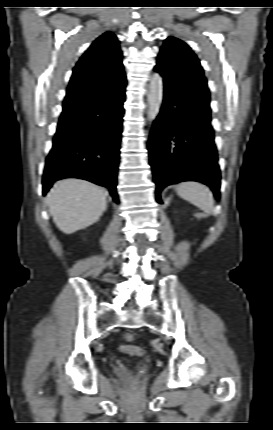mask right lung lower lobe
I'll return each instance as SVG.
<instances>
[{"mask_svg": "<svg viewBox=\"0 0 273 430\" xmlns=\"http://www.w3.org/2000/svg\"><path fill=\"white\" fill-rule=\"evenodd\" d=\"M126 83L106 84L75 115L58 124L46 159L43 194L63 178H80L116 193Z\"/></svg>", "mask_w": 273, "mask_h": 430, "instance_id": "obj_1", "label": "right lung lower lobe"}]
</instances>
